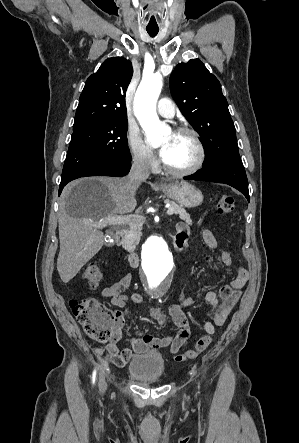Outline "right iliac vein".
Here are the masks:
<instances>
[{
	"label": "right iliac vein",
	"instance_id": "right-iliac-vein-1",
	"mask_svg": "<svg viewBox=\"0 0 299 443\" xmlns=\"http://www.w3.org/2000/svg\"><path fill=\"white\" fill-rule=\"evenodd\" d=\"M106 388H107V383L105 380V376H104V373H101L100 379H99V390L101 393H104Z\"/></svg>",
	"mask_w": 299,
	"mask_h": 443
}]
</instances>
